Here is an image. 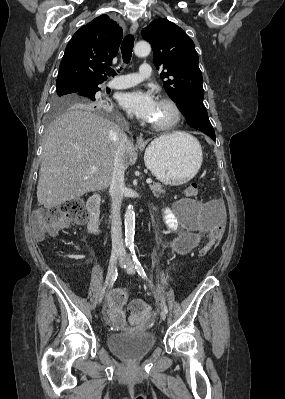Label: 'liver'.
I'll return each mask as SVG.
<instances>
[{"label":"liver","instance_id":"liver-1","mask_svg":"<svg viewBox=\"0 0 285 399\" xmlns=\"http://www.w3.org/2000/svg\"><path fill=\"white\" fill-rule=\"evenodd\" d=\"M123 131L111 121L80 109H70L53 122L46 135L37 186L39 205L46 208L106 189ZM174 132L163 138H182ZM134 151L127 142L124 166ZM95 166L96 171L91 167Z\"/></svg>","mask_w":285,"mask_h":399}]
</instances>
